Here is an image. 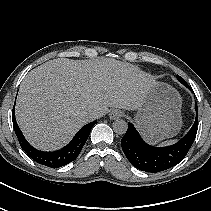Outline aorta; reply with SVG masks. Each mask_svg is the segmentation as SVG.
I'll list each match as a JSON object with an SVG mask.
<instances>
[{
  "label": "aorta",
  "mask_w": 211,
  "mask_h": 211,
  "mask_svg": "<svg viewBox=\"0 0 211 211\" xmlns=\"http://www.w3.org/2000/svg\"><path fill=\"white\" fill-rule=\"evenodd\" d=\"M128 129V124L124 120H116L113 122V130L118 134H125Z\"/></svg>",
  "instance_id": "aorta-1"
}]
</instances>
